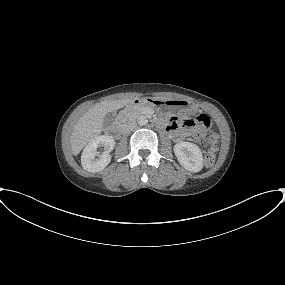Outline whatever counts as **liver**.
I'll return each mask as SVG.
<instances>
[{
	"instance_id": "liver-1",
	"label": "liver",
	"mask_w": 285,
	"mask_h": 285,
	"mask_svg": "<svg viewBox=\"0 0 285 285\" xmlns=\"http://www.w3.org/2000/svg\"><path fill=\"white\" fill-rule=\"evenodd\" d=\"M129 103H132L131 99L110 100L89 109L78 120L71 133L70 144L73 154L78 155L88 142L101 134L103 118L108 112L116 111Z\"/></svg>"
}]
</instances>
